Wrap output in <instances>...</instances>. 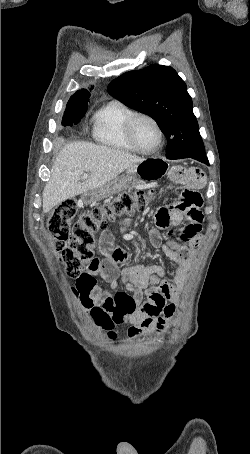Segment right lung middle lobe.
<instances>
[{
	"label": "right lung middle lobe",
	"mask_w": 250,
	"mask_h": 454,
	"mask_svg": "<svg viewBox=\"0 0 250 454\" xmlns=\"http://www.w3.org/2000/svg\"><path fill=\"white\" fill-rule=\"evenodd\" d=\"M88 108V102L85 103H78L73 105H67L62 125L64 126H73L78 124L81 121V118L84 117Z\"/></svg>",
	"instance_id": "dd1d6c3e"
}]
</instances>
